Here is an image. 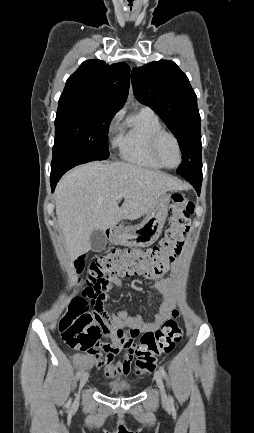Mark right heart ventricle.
I'll return each instance as SVG.
<instances>
[{"label":"right heart ventricle","instance_id":"right-heart-ventricle-1","mask_svg":"<svg viewBox=\"0 0 254 433\" xmlns=\"http://www.w3.org/2000/svg\"><path fill=\"white\" fill-rule=\"evenodd\" d=\"M159 129L162 127L156 114L152 110L141 109L119 126L113 144L123 160L146 169L159 170L161 166L149 150L150 138Z\"/></svg>","mask_w":254,"mask_h":433}]
</instances>
